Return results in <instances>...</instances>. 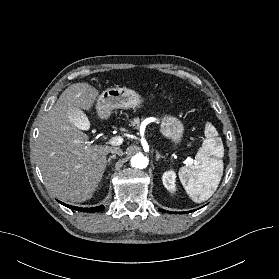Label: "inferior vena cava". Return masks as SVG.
Masks as SVG:
<instances>
[{
  "label": "inferior vena cava",
  "mask_w": 279,
  "mask_h": 279,
  "mask_svg": "<svg viewBox=\"0 0 279 279\" xmlns=\"http://www.w3.org/2000/svg\"><path fill=\"white\" fill-rule=\"evenodd\" d=\"M110 153L112 154H118L119 156L123 155V150L119 147H113L110 149Z\"/></svg>",
  "instance_id": "inferior-vena-cava-1"
}]
</instances>
